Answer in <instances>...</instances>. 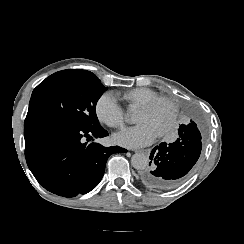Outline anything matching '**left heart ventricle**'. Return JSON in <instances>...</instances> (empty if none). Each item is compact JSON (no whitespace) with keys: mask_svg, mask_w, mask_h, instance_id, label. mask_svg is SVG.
<instances>
[{"mask_svg":"<svg viewBox=\"0 0 244 244\" xmlns=\"http://www.w3.org/2000/svg\"><path fill=\"white\" fill-rule=\"evenodd\" d=\"M134 121L139 124L148 125L158 135H161L168 127L169 106L158 103L153 105L148 111L136 109L134 112Z\"/></svg>","mask_w":244,"mask_h":244,"instance_id":"obj_1","label":"left heart ventricle"}]
</instances>
